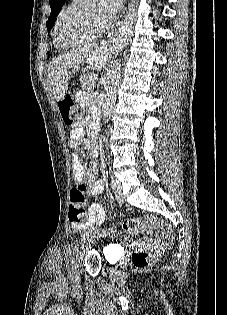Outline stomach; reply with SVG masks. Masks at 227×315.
Segmentation results:
<instances>
[{"mask_svg": "<svg viewBox=\"0 0 227 315\" xmlns=\"http://www.w3.org/2000/svg\"><path fill=\"white\" fill-rule=\"evenodd\" d=\"M88 61L92 67H97V62L95 61L94 55H89Z\"/></svg>", "mask_w": 227, "mask_h": 315, "instance_id": "0dacf381", "label": "stomach"}]
</instances>
